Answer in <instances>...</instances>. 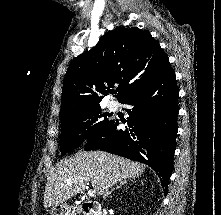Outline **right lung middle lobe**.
<instances>
[{"label": "right lung middle lobe", "mask_w": 221, "mask_h": 215, "mask_svg": "<svg viewBox=\"0 0 221 215\" xmlns=\"http://www.w3.org/2000/svg\"><path fill=\"white\" fill-rule=\"evenodd\" d=\"M101 108H93L61 120V152L65 154L78 147L90 134L96 133L110 121ZM101 120V118H103Z\"/></svg>", "instance_id": "dd1d6c3e"}]
</instances>
